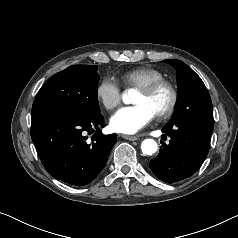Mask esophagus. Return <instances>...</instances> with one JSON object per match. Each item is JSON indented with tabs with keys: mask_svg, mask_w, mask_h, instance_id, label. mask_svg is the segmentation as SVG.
Returning a JSON list of instances; mask_svg holds the SVG:
<instances>
[{
	"mask_svg": "<svg viewBox=\"0 0 238 238\" xmlns=\"http://www.w3.org/2000/svg\"><path fill=\"white\" fill-rule=\"evenodd\" d=\"M121 137L126 139V140H129V141H136V140H138V137L131 136V135H124V134H122Z\"/></svg>",
	"mask_w": 238,
	"mask_h": 238,
	"instance_id": "esophagus-1",
	"label": "esophagus"
}]
</instances>
